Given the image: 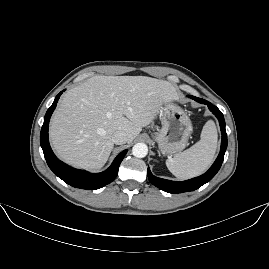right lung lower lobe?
Instances as JSON below:
<instances>
[{
	"label": "right lung lower lobe",
	"mask_w": 269,
	"mask_h": 269,
	"mask_svg": "<svg viewBox=\"0 0 269 269\" xmlns=\"http://www.w3.org/2000/svg\"><path fill=\"white\" fill-rule=\"evenodd\" d=\"M61 91L55 98L51 107L47 110L44 123L40 133V143L50 169L67 184L81 189L95 190L111 183L118 174L120 163L122 162L127 150L122 151L113 161L112 165L102 173L91 174L83 170L72 168L54 155L48 140V126L50 117L56 107Z\"/></svg>",
	"instance_id": "right-lung-lower-lobe-1"
}]
</instances>
